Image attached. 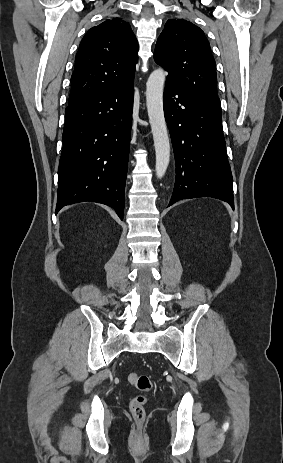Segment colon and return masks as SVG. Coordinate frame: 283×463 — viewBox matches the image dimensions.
Segmentation results:
<instances>
[{"instance_id": "5ec220e1", "label": "colon", "mask_w": 283, "mask_h": 463, "mask_svg": "<svg viewBox=\"0 0 283 463\" xmlns=\"http://www.w3.org/2000/svg\"><path fill=\"white\" fill-rule=\"evenodd\" d=\"M127 379L129 383L140 392L131 399L129 408L135 421L141 424L145 420V405L149 400V394L152 391L153 383L149 376L137 373H130Z\"/></svg>"}]
</instances>
